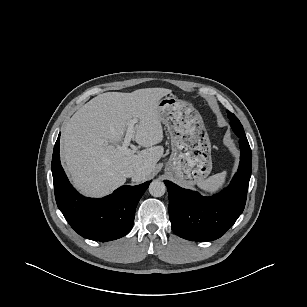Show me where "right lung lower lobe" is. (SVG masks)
<instances>
[{
  "mask_svg": "<svg viewBox=\"0 0 307 307\" xmlns=\"http://www.w3.org/2000/svg\"><path fill=\"white\" fill-rule=\"evenodd\" d=\"M59 140L60 136L54 146L52 174L57 206L67 222L82 237L96 241H111L128 234L149 182L122 186L104 198H86L73 188L63 171Z\"/></svg>",
  "mask_w": 307,
  "mask_h": 307,
  "instance_id": "1",
  "label": "right lung lower lobe"
}]
</instances>
